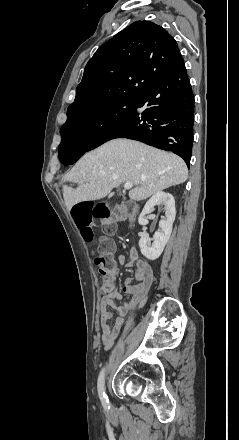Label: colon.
<instances>
[{
  "instance_id": "1",
  "label": "colon",
  "mask_w": 239,
  "mask_h": 440,
  "mask_svg": "<svg viewBox=\"0 0 239 440\" xmlns=\"http://www.w3.org/2000/svg\"><path fill=\"white\" fill-rule=\"evenodd\" d=\"M136 211L135 204L124 202L115 210L111 209L106 203H79L73 207L72 216L76 226L81 230L82 236L87 242L94 241V231L92 223L94 219L102 222L104 232L111 233L115 230L119 221L133 215ZM113 244L104 239L101 242L100 250L94 258L95 265L99 268V272L106 278L105 283L111 282L117 272V262L114 258Z\"/></svg>"
}]
</instances>
